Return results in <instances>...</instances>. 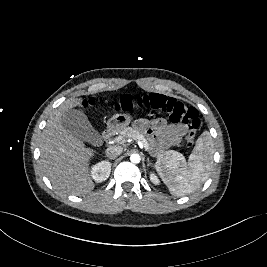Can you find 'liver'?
Listing matches in <instances>:
<instances>
[{"instance_id":"1","label":"liver","mask_w":267,"mask_h":267,"mask_svg":"<svg viewBox=\"0 0 267 267\" xmlns=\"http://www.w3.org/2000/svg\"><path fill=\"white\" fill-rule=\"evenodd\" d=\"M81 105V98L61 104L50 115L39 146L40 164L53 187L71 195L87 194L95 187L89 165L96 152L62 125L64 112Z\"/></svg>"}]
</instances>
